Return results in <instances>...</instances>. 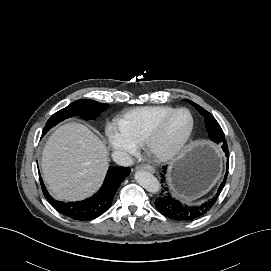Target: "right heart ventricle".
<instances>
[{
    "label": "right heart ventricle",
    "mask_w": 271,
    "mask_h": 271,
    "mask_svg": "<svg viewBox=\"0 0 271 271\" xmlns=\"http://www.w3.org/2000/svg\"><path fill=\"white\" fill-rule=\"evenodd\" d=\"M174 109L171 106H145L132 109L119 119V128L129 140L140 145Z\"/></svg>",
    "instance_id": "obj_1"
}]
</instances>
